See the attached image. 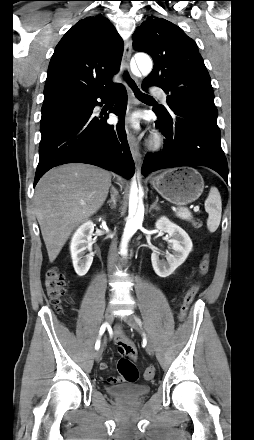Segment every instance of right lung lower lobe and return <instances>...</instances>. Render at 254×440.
I'll return each mask as SVG.
<instances>
[{"label": "right lung lower lobe", "instance_id": "1", "mask_svg": "<svg viewBox=\"0 0 254 440\" xmlns=\"http://www.w3.org/2000/svg\"><path fill=\"white\" fill-rule=\"evenodd\" d=\"M110 112L119 117L117 125H107V116H94L93 109L104 102L109 92L71 93L79 101L68 107L61 116L47 124L39 145V163L34 186L51 168L66 163H87L131 178L134 161L127 142L124 117L127 93L123 85Z\"/></svg>", "mask_w": 254, "mask_h": 440}]
</instances>
